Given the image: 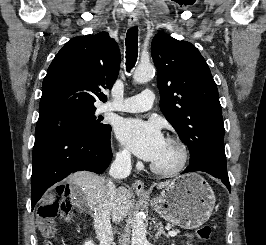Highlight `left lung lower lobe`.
I'll return each instance as SVG.
<instances>
[{"label": "left lung lower lobe", "instance_id": "left-lung-lower-lobe-1", "mask_svg": "<svg viewBox=\"0 0 266 245\" xmlns=\"http://www.w3.org/2000/svg\"><path fill=\"white\" fill-rule=\"evenodd\" d=\"M195 171L207 172L215 178L221 179L230 191V183L226 166L211 161H200L189 165L181 174Z\"/></svg>", "mask_w": 266, "mask_h": 245}]
</instances>
